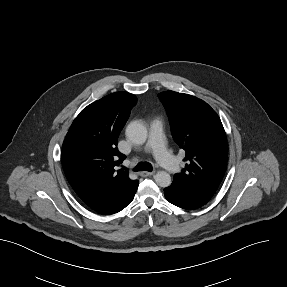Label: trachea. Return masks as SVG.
Instances as JSON below:
<instances>
[{"label":"trachea","instance_id":"trachea-1","mask_svg":"<svg viewBox=\"0 0 287 287\" xmlns=\"http://www.w3.org/2000/svg\"><path fill=\"white\" fill-rule=\"evenodd\" d=\"M152 165L148 162H139L134 168V171H152Z\"/></svg>","mask_w":287,"mask_h":287}]
</instances>
